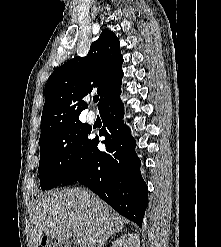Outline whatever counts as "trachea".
I'll list each match as a JSON object with an SVG mask.
<instances>
[{"label": "trachea", "instance_id": "3493384b", "mask_svg": "<svg viewBox=\"0 0 221 247\" xmlns=\"http://www.w3.org/2000/svg\"><path fill=\"white\" fill-rule=\"evenodd\" d=\"M98 100H99V97H97V96L93 98L94 102H98Z\"/></svg>", "mask_w": 221, "mask_h": 247}]
</instances>
